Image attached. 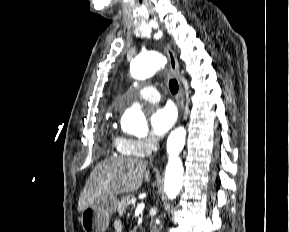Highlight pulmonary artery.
Here are the masks:
<instances>
[{
  "instance_id": "e3ab8cb5",
  "label": "pulmonary artery",
  "mask_w": 289,
  "mask_h": 232,
  "mask_svg": "<svg viewBox=\"0 0 289 232\" xmlns=\"http://www.w3.org/2000/svg\"><path fill=\"white\" fill-rule=\"evenodd\" d=\"M137 97L144 101L157 102L160 100V93L152 86L142 88L138 93Z\"/></svg>"
}]
</instances>
